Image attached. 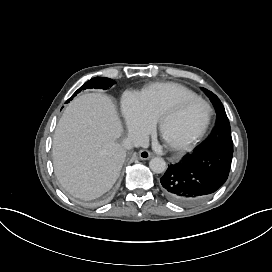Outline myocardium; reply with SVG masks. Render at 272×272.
Returning a JSON list of instances; mask_svg holds the SVG:
<instances>
[{"label":"myocardium","instance_id":"myocardium-1","mask_svg":"<svg viewBox=\"0 0 272 272\" xmlns=\"http://www.w3.org/2000/svg\"><path fill=\"white\" fill-rule=\"evenodd\" d=\"M192 104H199L203 107L204 118L200 126L185 138L183 144V146L185 147L191 145L194 141L201 137L208 128L212 115V109L209 103L197 96L189 98H179L161 115V128L163 131H165L167 128L168 115L181 113Z\"/></svg>","mask_w":272,"mask_h":272}]
</instances>
